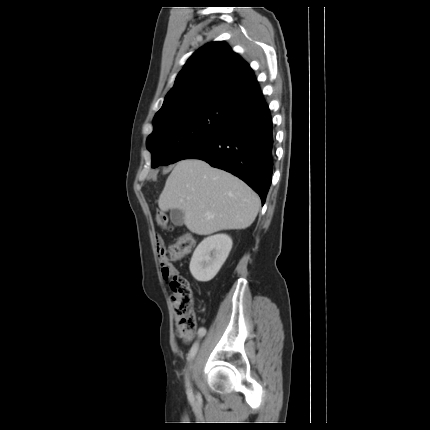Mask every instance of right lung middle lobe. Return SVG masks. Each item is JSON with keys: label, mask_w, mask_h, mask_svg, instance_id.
<instances>
[{"label": "right lung middle lobe", "mask_w": 430, "mask_h": 430, "mask_svg": "<svg viewBox=\"0 0 430 430\" xmlns=\"http://www.w3.org/2000/svg\"><path fill=\"white\" fill-rule=\"evenodd\" d=\"M233 110L224 101H204L153 122L147 139L151 165H167L185 159L229 124Z\"/></svg>", "instance_id": "dd1d6c3e"}]
</instances>
